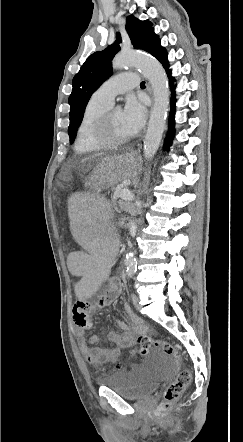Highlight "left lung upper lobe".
I'll return each mask as SVG.
<instances>
[{
	"label": "left lung upper lobe",
	"mask_w": 243,
	"mask_h": 442,
	"mask_svg": "<svg viewBox=\"0 0 243 442\" xmlns=\"http://www.w3.org/2000/svg\"><path fill=\"white\" fill-rule=\"evenodd\" d=\"M126 31L134 48L144 50L150 54L160 42L148 20L140 21L134 16H128ZM119 43H121V37L120 34H117L115 43L103 51L90 55L73 78V90L69 97L70 125L68 133L70 142H73L76 137V131L82 122L91 95L112 74L111 60L120 50Z\"/></svg>",
	"instance_id": "5c2ea615"
}]
</instances>
